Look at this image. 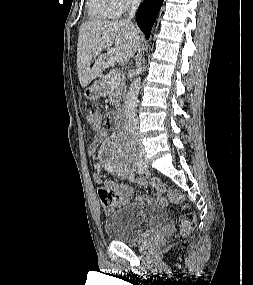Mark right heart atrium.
Segmentation results:
<instances>
[{
	"label": "right heart atrium",
	"mask_w": 253,
	"mask_h": 285,
	"mask_svg": "<svg viewBox=\"0 0 253 285\" xmlns=\"http://www.w3.org/2000/svg\"><path fill=\"white\" fill-rule=\"evenodd\" d=\"M122 10H127L135 5L139 0H117Z\"/></svg>",
	"instance_id": "1"
}]
</instances>
